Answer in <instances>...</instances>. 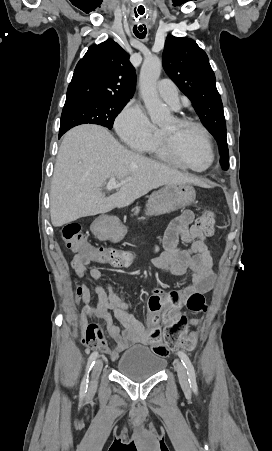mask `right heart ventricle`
<instances>
[{
	"label": "right heart ventricle",
	"instance_id": "right-heart-ventricle-1",
	"mask_svg": "<svg viewBox=\"0 0 272 451\" xmlns=\"http://www.w3.org/2000/svg\"><path fill=\"white\" fill-rule=\"evenodd\" d=\"M139 148L146 150L150 153H156L158 155H162L165 153L162 148V144H161V135H160V132H158V131L156 132V134L151 142H149L145 146L139 147Z\"/></svg>",
	"mask_w": 272,
	"mask_h": 451
}]
</instances>
